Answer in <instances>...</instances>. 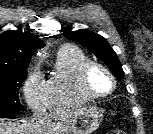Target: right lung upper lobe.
I'll return each mask as SVG.
<instances>
[{"label": "right lung upper lobe", "mask_w": 153, "mask_h": 134, "mask_svg": "<svg viewBox=\"0 0 153 134\" xmlns=\"http://www.w3.org/2000/svg\"><path fill=\"white\" fill-rule=\"evenodd\" d=\"M44 46L29 32L8 30L0 34V72L26 70L34 51Z\"/></svg>", "instance_id": "obj_1"}]
</instances>
